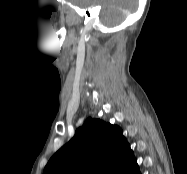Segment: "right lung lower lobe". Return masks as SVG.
I'll use <instances>...</instances> for the list:
<instances>
[{
    "instance_id": "obj_1",
    "label": "right lung lower lobe",
    "mask_w": 187,
    "mask_h": 174,
    "mask_svg": "<svg viewBox=\"0 0 187 174\" xmlns=\"http://www.w3.org/2000/svg\"><path fill=\"white\" fill-rule=\"evenodd\" d=\"M132 174H140L139 168H138V170H137L136 172H134V173H132Z\"/></svg>"
}]
</instances>
